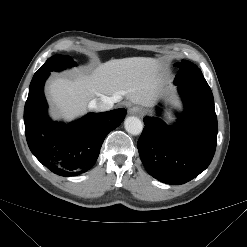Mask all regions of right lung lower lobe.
I'll return each mask as SVG.
<instances>
[{
	"mask_svg": "<svg viewBox=\"0 0 247 247\" xmlns=\"http://www.w3.org/2000/svg\"><path fill=\"white\" fill-rule=\"evenodd\" d=\"M49 74H35L24 108L25 134L33 155L52 172L74 176L95 164L107 134L124 120L126 110L90 113L69 123L53 122L47 115L43 87Z\"/></svg>",
	"mask_w": 247,
	"mask_h": 247,
	"instance_id": "1",
	"label": "right lung lower lobe"
}]
</instances>
